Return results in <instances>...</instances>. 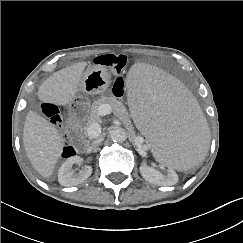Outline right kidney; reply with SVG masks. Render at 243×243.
Returning a JSON list of instances; mask_svg holds the SVG:
<instances>
[{"instance_id": "obj_1", "label": "right kidney", "mask_w": 243, "mask_h": 243, "mask_svg": "<svg viewBox=\"0 0 243 243\" xmlns=\"http://www.w3.org/2000/svg\"><path fill=\"white\" fill-rule=\"evenodd\" d=\"M80 161L79 156L69 157L60 167L58 172V181L62 186L78 185L89 178L92 173V167L87 165L79 173L72 170V166Z\"/></svg>"}]
</instances>
